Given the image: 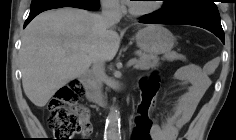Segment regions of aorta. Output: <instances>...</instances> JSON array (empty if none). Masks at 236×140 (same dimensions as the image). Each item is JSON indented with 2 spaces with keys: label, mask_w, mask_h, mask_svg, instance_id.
Instances as JSON below:
<instances>
[{
  "label": "aorta",
  "mask_w": 236,
  "mask_h": 140,
  "mask_svg": "<svg viewBox=\"0 0 236 140\" xmlns=\"http://www.w3.org/2000/svg\"><path fill=\"white\" fill-rule=\"evenodd\" d=\"M105 138L118 140L120 138V112L112 107L106 119Z\"/></svg>",
  "instance_id": "762f6f07"
}]
</instances>
